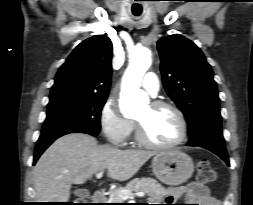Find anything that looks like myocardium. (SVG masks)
Segmentation results:
<instances>
[{
	"label": "myocardium",
	"instance_id": "obj_1",
	"mask_svg": "<svg viewBox=\"0 0 253 205\" xmlns=\"http://www.w3.org/2000/svg\"><path fill=\"white\" fill-rule=\"evenodd\" d=\"M150 106L153 109L167 108V109L172 110L176 114L180 123V128H181L180 136L176 141L170 144L161 145V144L153 143L146 137L142 125L137 120H135V136H136L137 142L143 147L153 149V150H169L183 144L188 136V123L183 111L174 103L163 101V100L153 101L150 103Z\"/></svg>",
	"mask_w": 253,
	"mask_h": 205
}]
</instances>
